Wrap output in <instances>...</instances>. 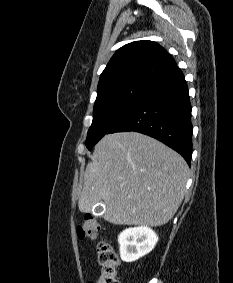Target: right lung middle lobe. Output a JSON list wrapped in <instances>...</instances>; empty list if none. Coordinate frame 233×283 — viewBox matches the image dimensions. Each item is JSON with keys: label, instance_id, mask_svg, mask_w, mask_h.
<instances>
[{"label": "right lung middle lobe", "instance_id": "dd1d6c3e", "mask_svg": "<svg viewBox=\"0 0 233 283\" xmlns=\"http://www.w3.org/2000/svg\"><path fill=\"white\" fill-rule=\"evenodd\" d=\"M150 81L130 80L120 85L97 91L93 109V121L88 130V150L105 135L128 110Z\"/></svg>", "mask_w": 233, "mask_h": 283}]
</instances>
